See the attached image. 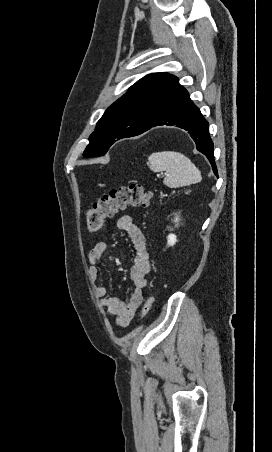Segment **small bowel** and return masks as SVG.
<instances>
[{
  "label": "small bowel",
  "mask_w": 272,
  "mask_h": 452,
  "mask_svg": "<svg viewBox=\"0 0 272 452\" xmlns=\"http://www.w3.org/2000/svg\"><path fill=\"white\" fill-rule=\"evenodd\" d=\"M116 227L127 233L134 248V258L130 272L133 292L126 301H123L116 296L109 295L104 285L97 284L95 285V294L100 299V307L103 312L113 317L118 325L127 326L144 300L143 289L147 286V276L150 272L149 251L144 234L131 216H120L116 221ZM106 251V242L100 241L96 243L89 253V262L91 264L89 278L92 282H96L98 279V263L102 261Z\"/></svg>",
  "instance_id": "small-bowel-1"
}]
</instances>
